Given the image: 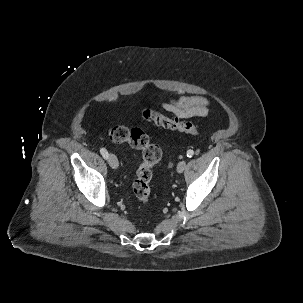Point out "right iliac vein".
<instances>
[{"label":"right iliac vein","mask_w":303,"mask_h":303,"mask_svg":"<svg viewBox=\"0 0 303 303\" xmlns=\"http://www.w3.org/2000/svg\"><path fill=\"white\" fill-rule=\"evenodd\" d=\"M107 160H108V164L113 169H117L118 168V166H119L118 159H117V157L114 154H109Z\"/></svg>","instance_id":"obj_1"}]
</instances>
